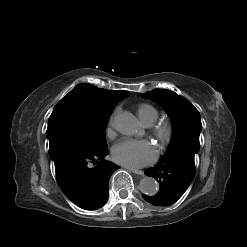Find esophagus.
I'll return each mask as SVG.
<instances>
[{
    "mask_svg": "<svg viewBox=\"0 0 247 247\" xmlns=\"http://www.w3.org/2000/svg\"><path fill=\"white\" fill-rule=\"evenodd\" d=\"M128 170L138 175H144V172L141 170L132 169V168H129Z\"/></svg>",
    "mask_w": 247,
    "mask_h": 247,
    "instance_id": "obj_1",
    "label": "esophagus"
}]
</instances>
